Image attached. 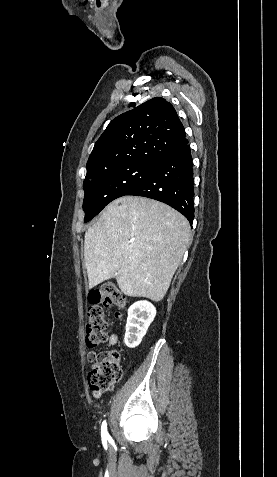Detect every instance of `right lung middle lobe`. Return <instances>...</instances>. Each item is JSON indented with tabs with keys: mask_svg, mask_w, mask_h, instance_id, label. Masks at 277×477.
Instances as JSON below:
<instances>
[{
	"mask_svg": "<svg viewBox=\"0 0 277 477\" xmlns=\"http://www.w3.org/2000/svg\"><path fill=\"white\" fill-rule=\"evenodd\" d=\"M154 167L155 164L152 163L132 162L87 173L83 183L84 222L90 221L111 201L126 195L139 185Z\"/></svg>",
	"mask_w": 277,
	"mask_h": 477,
	"instance_id": "obj_1",
	"label": "right lung middle lobe"
}]
</instances>
